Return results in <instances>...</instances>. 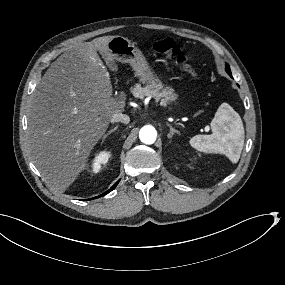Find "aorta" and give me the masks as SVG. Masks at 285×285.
Instances as JSON below:
<instances>
[{
	"mask_svg": "<svg viewBox=\"0 0 285 285\" xmlns=\"http://www.w3.org/2000/svg\"><path fill=\"white\" fill-rule=\"evenodd\" d=\"M139 138L144 144H153L157 138V131L153 126L145 125L140 129Z\"/></svg>",
	"mask_w": 285,
	"mask_h": 285,
	"instance_id": "aorta-1",
	"label": "aorta"
}]
</instances>
